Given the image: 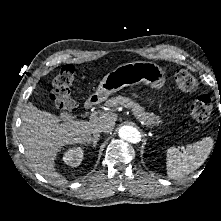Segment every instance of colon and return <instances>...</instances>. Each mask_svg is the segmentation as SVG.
I'll use <instances>...</instances> for the list:
<instances>
[{"instance_id": "obj_1", "label": "colon", "mask_w": 221, "mask_h": 221, "mask_svg": "<svg viewBox=\"0 0 221 221\" xmlns=\"http://www.w3.org/2000/svg\"><path fill=\"white\" fill-rule=\"evenodd\" d=\"M75 81V67L72 64L64 65L53 80L51 100L54 107L62 112H72L77 104L72 97L70 88ZM177 88L183 93H190L197 89L198 81L185 70L175 74ZM212 112V101L209 96L201 95L190 105V113L198 122L208 120Z\"/></svg>"}]
</instances>
